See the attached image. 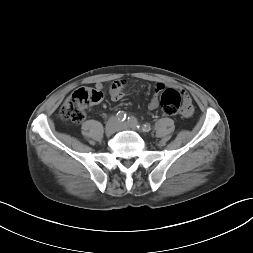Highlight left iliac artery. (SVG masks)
Listing matches in <instances>:
<instances>
[{
  "mask_svg": "<svg viewBox=\"0 0 253 253\" xmlns=\"http://www.w3.org/2000/svg\"><path fill=\"white\" fill-rule=\"evenodd\" d=\"M128 124L131 127L141 128L144 132H148L151 129V127L148 123H145L142 126H140V124L138 123L137 119L134 116L128 117Z\"/></svg>",
  "mask_w": 253,
  "mask_h": 253,
  "instance_id": "left-iliac-artery-1",
  "label": "left iliac artery"
}]
</instances>
